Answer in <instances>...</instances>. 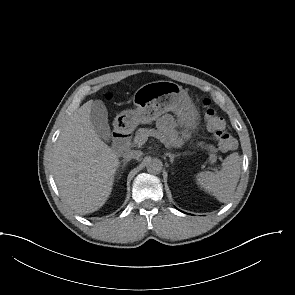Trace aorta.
<instances>
[{
	"instance_id": "1",
	"label": "aorta",
	"mask_w": 295,
	"mask_h": 295,
	"mask_svg": "<svg viewBox=\"0 0 295 295\" xmlns=\"http://www.w3.org/2000/svg\"><path fill=\"white\" fill-rule=\"evenodd\" d=\"M163 164L160 159L152 158L147 161L146 168L150 173L158 174L161 172Z\"/></svg>"
}]
</instances>
